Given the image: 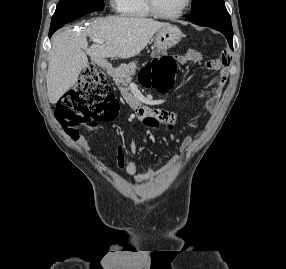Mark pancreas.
Returning <instances> with one entry per match:
<instances>
[{
    "label": "pancreas",
    "instance_id": "pancreas-1",
    "mask_svg": "<svg viewBox=\"0 0 286 269\" xmlns=\"http://www.w3.org/2000/svg\"><path fill=\"white\" fill-rule=\"evenodd\" d=\"M136 63L121 65L114 69L111 73L115 84L118 86L121 95L127 100H133L134 97L130 93L129 83L136 72Z\"/></svg>",
    "mask_w": 286,
    "mask_h": 269
}]
</instances>
